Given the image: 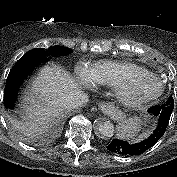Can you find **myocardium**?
<instances>
[{
    "mask_svg": "<svg viewBox=\"0 0 177 177\" xmlns=\"http://www.w3.org/2000/svg\"><path fill=\"white\" fill-rule=\"evenodd\" d=\"M130 78H149L156 83H158V90L154 93L143 94V95H132L127 90V81ZM118 99L127 106L131 107H140L143 106L158 97H160L164 91V83L163 81L155 74L151 72L140 73V74H127L116 85L114 88Z\"/></svg>",
    "mask_w": 177,
    "mask_h": 177,
    "instance_id": "1",
    "label": "myocardium"
}]
</instances>
